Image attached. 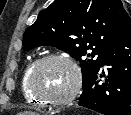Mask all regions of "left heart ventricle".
Here are the masks:
<instances>
[{"instance_id":"1","label":"left heart ventricle","mask_w":131,"mask_h":115,"mask_svg":"<svg viewBox=\"0 0 131 115\" xmlns=\"http://www.w3.org/2000/svg\"><path fill=\"white\" fill-rule=\"evenodd\" d=\"M73 84V70L66 62L61 60H53L43 65L36 77L37 89L54 99L68 94Z\"/></svg>"}]
</instances>
